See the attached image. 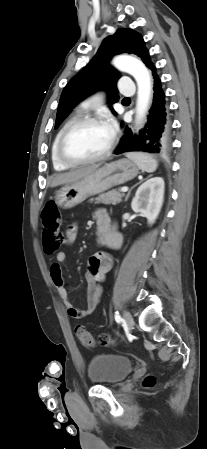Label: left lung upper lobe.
<instances>
[{
	"instance_id": "obj_1",
	"label": "left lung upper lobe",
	"mask_w": 207,
	"mask_h": 449,
	"mask_svg": "<svg viewBox=\"0 0 207 449\" xmlns=\"http://www.w3.org/2000/svg\"><path fill=\"white\" fill-rule=\"evenodd\" d=\"M121 53L136 54L147 67L152 63L142 36L132 29H118L113 36L104 39L93 59L63 89L55 128L62 123L78 102L97 90H108V101L111 104L119 100L116 83L120 75L110 66L109 60L113 55ZM112 112L115 114L113 109Z\"/></svg>"
}]
</instances>
